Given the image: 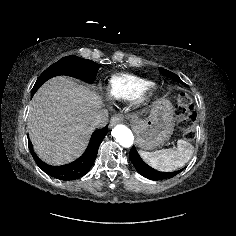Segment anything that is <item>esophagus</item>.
<instances>
[{"mask_svg":"<svg viewBox=\"0 0 236 236\" xmlns=\"http://www.w3.org/2000/svg\"><path fill=\"white\" fill-rule=\"evenodd\" d=\"M123 121V115L121 114H115L112 116L110 121V126H114L116 124H119Z\"/></svg>","mask_w":236,"mask_h":236,"instance_id":"esophagus-1","label":"esophagus"}]
</instances>
